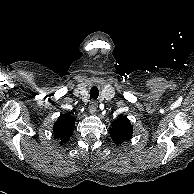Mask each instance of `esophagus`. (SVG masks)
I'll use <instances>...</instances> for the list:
<instances>
[{
  "instance_id": "obj_1",
  "label": "esophagus",
  "mask_w": 194,
  "mask_h": 194,
  "mask_svg": "<svg viewBox=\"0 0 194 194\" xmlns=\"http://www.w3.org/2000/svg\"><path fill=\"white\" fill-rule=\"evenodd\" d=\"M88 107H89L90 113H91V114H94V113L96 112V109H97V102L94 101V100L90 101Z\"/></svg>"
}]
</instances>
